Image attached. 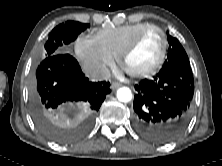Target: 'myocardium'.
<instances>
[{"mask_svg":"<svg viewBox=\"0 0 222 166\" xmlns=\"http://www.w3.org/2000/svg\"><path fill=\"white\" fill-rule=\"evenodd\" d=\"M155 30L157 31L162 38V50L160 53V56L156 63L151 66L150 68L140 71V72H128L127 73L136 78H143L148 77L150 75L155 74L164 64L167 53H168V38L165 31L158 25H148L144 29H142L139 33H137L134 38L125 46V48L120 52L118 55V62L121 65V67L124 68V63L126 58L132 53V51L137 47L141 39L149 32Z\"/></svg>","mask_w":222,"mask_h":166,"instance_id":"myocardium-1","label":"myocardium"}]
</instances>
